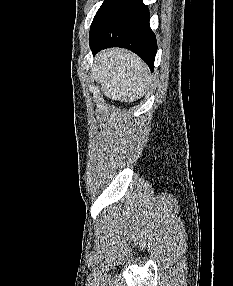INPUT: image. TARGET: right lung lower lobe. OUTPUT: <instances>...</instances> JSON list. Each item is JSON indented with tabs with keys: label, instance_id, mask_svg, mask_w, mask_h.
I'll return each instance as SVG.
<instances>
[{
	"label": "right lung lower lobe",
	"instance_id": "98d812e1",
	"mask_svg": "<svg viewBox=\"0 0 233 286\" xmlns=\"http://www.w3.org/2000/svg\"><path fill=\"white\" fill-rule=\"evenodd\" d=\"M93 53L109 47L135 52L153 71L157 43L149 25V10L142 0H105L90 29Z\"/></svg>",
	"mask_w": 233,
	"mask_h": 286
}]
</instances>
